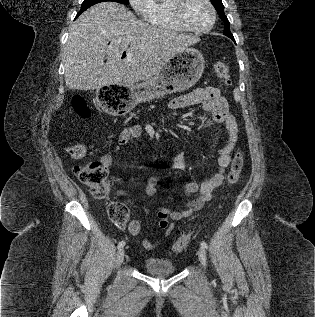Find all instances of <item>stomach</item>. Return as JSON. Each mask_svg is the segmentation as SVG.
<instances>
[{"label": "stomach", "instance_id": "obj_1", "mask_svg": "<svg viewBox=\"0 0 315 317\" xmlns=\"http://www.w3.org/2000/svg\"><path fill=\"white\" fill-rule=\"evenodd\" d=\"M205 68L200 51L187 47L175 54L152 79L140 84H103L99 88L103 111L131 114L139 104L169 93L189 89L201 78Z\"/></svg>", "mask_w": 315, "mask_h": 317}]
</instances>
